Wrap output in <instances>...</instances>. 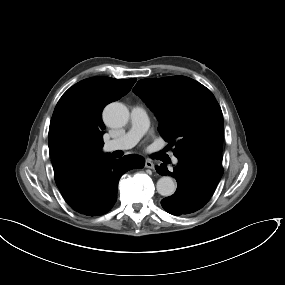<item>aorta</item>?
I'll return each mask as SVG.
<instances>
[{
	"instance_id": "aorta-1",
	"label": "aorta",
	"mask_w": 285,
	"mask_h": 285,
	"mask_svg": "<svg viewBox=\"0 0 285 285\" xmlns=\"http://www.w3.org/2000/svg\"><path fill=\"white\" fill-rule=\"evenodd\" d=\"M106 124L110 127H122L129 118V111L122 103L114 102L107 105L103 112ZM157 192L165 197L171 196L176 190L174 180L169 176H163L157 181Z\"/></svg>"
}]
</instances>
